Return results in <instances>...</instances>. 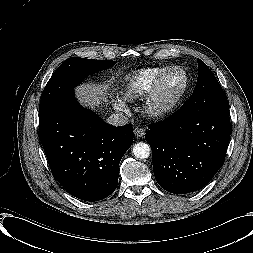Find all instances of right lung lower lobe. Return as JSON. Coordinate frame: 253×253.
<instances>
[{
	"mask_svg": "<svg viewBox=\"0 0 253 253\" xmlns=\"http://www.w3.org/2000/svg\"><path fill=\"white\" fill-rule=\"evenodd\" d=\"M39 138L51 172L76 198L98 201L117 187L119 163L133 142L131 124L115 127L82 108L73 92L39 117Z\"/></svg>",
	"mask_w": 253,
	"mask_h": 253,
	"instance_id": "98d812e1",
	"label": "right lung lower lobe"
}]
</instances>
